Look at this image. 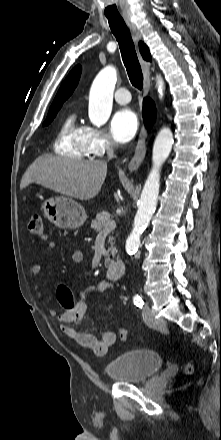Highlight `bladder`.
Returning a JSON list of instances; mask_svg holds the SVG:
<instances>
[{
    "mask_svg": "<svg viewBox=\"0 0 221 440\" xmlns=\"http://www.w3.org/2000/svg\"><path fill=\"white\" fill-rule=\"evenodd\" d=\"M163 358L150 349H136L109 361L106 375L119 383H139L150 379L163 366Z\"/></svg>",
    "mask_w": 221,
    "mask_h": 440,
    "instance_id": "1",
    "label": "bladder"
}]
</instances>
